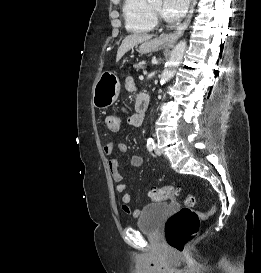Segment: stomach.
I'll list each match as a JSON object with an SVG mask.
<instances>
[{
  "instance_id": "1",
  "label": "stomach",
  "mask_w": 261,
  "mask_h": 273,
  "mask_svg": "<svg viewBox=\"0 0 261 273\" xmlns=\"http://www.w3.org/2000/svg\"><path fill=\"white\" fill-rule=\"evenodd\" d=\"M166 44L160 39L142 42L139 52L149 53L165 47ZM120 82L118 77L110 71H104L93 86V105L98 109H107L118 98Z\"/></svg>"
}]
</instances>
